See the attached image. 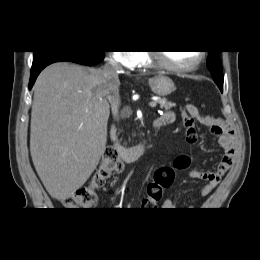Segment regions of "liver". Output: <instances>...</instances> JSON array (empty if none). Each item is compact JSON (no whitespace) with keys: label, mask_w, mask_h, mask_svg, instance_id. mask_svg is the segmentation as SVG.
I'll return each mask as SVG.
<instances>
[{"label":"liver","mask_w":260,"mask_h":260,"mask_svg":"<svg viewBox=\"0 0 260 260\" xmlns=\"http://www.w3.org/2000/svg\"><path fill=\"white\" fill-rule=\"evenodd\" d=\"M113 86L103 70L53 63L38 76L31 110L30 153L51 197L82 187L106 149Z\"/></svg>","instance_id":"1"}]
</instances>
